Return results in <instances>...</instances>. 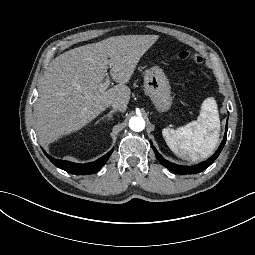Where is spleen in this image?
<instances>
[{
	"mask_svg": "<svg viewBox=\"0 0 255 255\" xmlns=\"http://www.w3.org/2000/svg\"><path fill=\"white\" fill-rule=\"evenodd\" d=\"M220 132V119L214 98L209 97L202 104V121H193L176 130L165 128L162 135L168 147L183 159L198 160L212 155ZM182 150L190 151L183 155Z\"/></svg>",
	"mask_w": 255,
	"mask_h": 255,
	"instance_id": "3e777b00",
	"label": "spleen"
}]
</instances>
